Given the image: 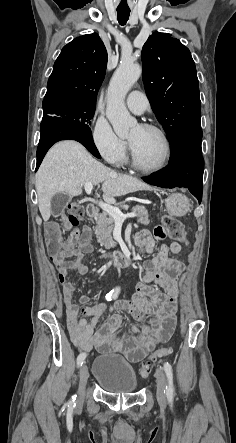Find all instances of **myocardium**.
Segmentation results:
<instances>
[{
	"label": "myocardium",
	"mask_w": 236,
	"mask_h": 443,
	"mask_svg": "<svg viewBox=\"0 0 236 443\" xmlns=\"http://www.w3.org/2000/svg\"><path fill=\"white\" fill-rule=\"evenodd\" d=\"M140 126L142 128H144V129L155 131V132H157L162 137V139H163V141L165 143L166 153H165V158H164V160L162 161V163L160 165H158L156 167H153V168H149V167H146V166L142 165L139 162V160H138V158H137V156L135 154V151L133 149V146H132V144L129 141V149H130L132 166L136 170H138V171H140L142 173H145V174L158 173V172L164 170L168 166V164H169V162L171 160L172 151H173L172 150V143L170 141V138H169L168 134L160 126L152 124V123H142V124H140Z\"/></svg>",
	"instance_id": "f54148a6"
}]
</instances>
